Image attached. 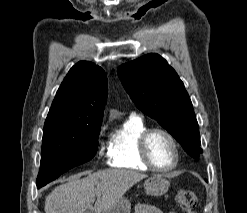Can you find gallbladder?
Instances as JSON below:
<instances>
[{
  "instance_id": "bac80fb5",
  "label": "gallbladder",
  "mask_w": 247,
  "mask_h": 213,
  "mask_svg": "<svg viewBox=\"0 0 247 213\" xmlns=\"http://www.w3.org/2000/svg\"><path fill=\"white\" fill-rule=\"evenodd\" d=\"M85 213H93V211L88 209V210L85 211Z\"/></svg>"
}]
</instances>
